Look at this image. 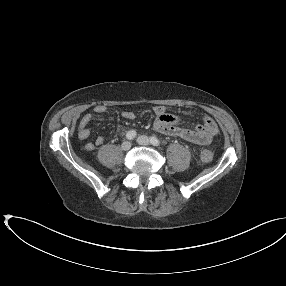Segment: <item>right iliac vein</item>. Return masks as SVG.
Wrapping results in <instances>:
<instances>
[{
  "instance_id": "63e3f726",
  "label": "right iliac vein",
  "mask_w": 286,
  "mask_h": 286,
  "mask_svg": "<svg viewBox=\"0 0 286 286\" xmlns=\"http://www.w3.org/2000/svg\"><path fill=\"white\" fill-rule=\"evenodd\" d=\"M122 150L128 151L131 148V143L129 141H125L121 145Z\"/></svg>"
}]
</instances>
